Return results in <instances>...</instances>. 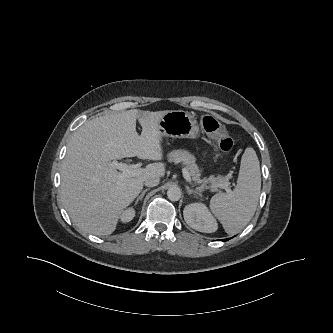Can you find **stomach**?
<instances>
[{
    "mask_svg": "<svg viewBox=\"0 0 333 333\" xmlns=\"http://www.w3.org/2000/svg\"><path fill=\"white\" fill-rule=\"evenodd\" d=\"M160 136L196 139L200 135L194 115L183 110L168 111L158 124Z\"/></svg>",
    "mask_w": 333,
    "mask_h": 333,
    "instance_id": "obj_1",
    "label": "stomach"
}]
</instances>
